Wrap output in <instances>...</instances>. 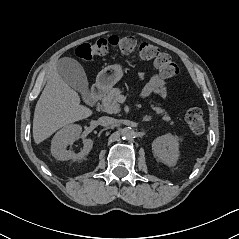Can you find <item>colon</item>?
Masks as SVG:
<instances>
[{
    "label": "colon",
    "mask_w": 239,
    "mask_h": 239,
    "mask_svg": "<svg viewBox=\"0 0 239 239\" xmlns=\"http://www.w3.org/2000/svg\"><path fill=\"white\" fill-rule=\"evenodd\" d=\"M111 49H117L125 54L137 52L142 60L152 61L162 77L171 78L178 74V66L168 54L150 43L138 44L136 39L131 36H111L91 43H83L77 47L75 54L79 59L91 60L94 56L104 55ZM184 118L193 132H203L205 120L199 108L186 109Z\"/></svg>",
    "instance_id": "colon-1"
}]
</instances>
